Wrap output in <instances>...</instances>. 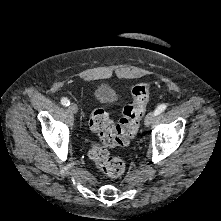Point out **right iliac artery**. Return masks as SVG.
Returning <instances> with one entry per match:
<instances>
[{"instance_id":"obj_1","label":"right iliac artery","mask_w":221,"mask_h":221,"mask_svg":"<svg viewBox=\"0 0 221 221\" xmlns=\"http://www.w3.org/2000/svg\"><path fill=\"white\" fill-rule=\"evenodd\" d=\"M61 104L64 106H69L70 102L67 98H62L61 99Z\"/></svg>"}]
</instances>
